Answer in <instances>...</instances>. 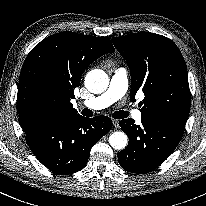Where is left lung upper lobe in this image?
<instances>
[{"instance_id": "left-lung-upper-lobe-1", "label": "left lung upper lobe", "mask_w": 206, "mask_h": 206, "mask_svg": "<svg viewBox=\"0 0 206 206\" xmlns=\"http://www.w3.org/2000/svg\"><path fill=\"white\" fill-rule=\"evenodd\" d=\"M131 72V100L138 90L145 94L142 119L185 129L191 95L186 63L176 44L148 32L112 38Z\"/></svg>"}]
</instances>
